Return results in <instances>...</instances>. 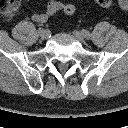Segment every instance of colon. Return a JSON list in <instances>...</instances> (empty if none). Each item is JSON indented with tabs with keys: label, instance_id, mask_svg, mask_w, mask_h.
<instances>
[{
	"label": "colon",
	"instance_id": "obj_1",
	"mask_svg": "<svg viewBox=\"0 0 128 128\" xmlns=\"http://www.w3.org/2000/svg\"><path fill=\"white\" fill-rule=\"evenodd\" d=\"M95 2L106 8L113 5V0H95ZM118 2L122 9L128 10V0H118ZM20 5V0H0V13L11 18L19 10ZM75 10L76 7L73 3H66L63 7V12L66 15H73Z\"/></svg>",
	"mask_w": 128,
	"mask_h": 128
}]
</instances>
